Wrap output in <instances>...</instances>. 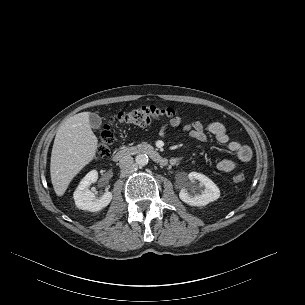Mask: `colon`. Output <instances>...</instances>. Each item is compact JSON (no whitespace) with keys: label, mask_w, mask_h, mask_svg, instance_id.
Wrapping results in <instances>:
<instances>
[{"label":"colon","mask_w":305,"mask_h":305,"mask_svg":"<svg viewBox=\"0 0 305 305\" xmlns=\"http://www.w3.org/2000/svg\"><path fill=\"white\" fill-rule=\"evenodd\" d=\"M174 115L175 113L172 109H161L155 106H143L128 111H119L115 113L111 118V123L145 127L150 125L152 122L159 121L161 119H172ZM113 139L114 136L111 130V125H103L96 148L97 160H103L109 157L110 146L113 143ZM245 179V175L242 173L235 175L233 178L235 183H243Z\"/></svg>","instance_id":"obj_1"}]
</instances>
